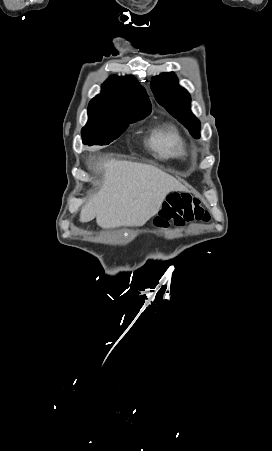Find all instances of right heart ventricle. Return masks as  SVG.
I'll return each mask as SVG.
<instances>
[{"label": "right heart ventricle", "mask_w": 272, "mask_h": 451, "mask_svg": "<svg viewBox=\"0 0 272 451\" xmlns=\"http://www.w3.org/2000/svg\"><path fill=\"white\" fill-rule=\"evenodd\" d=\"M152 145L163 156L178 157L182 155L180 137L173 129L156 132L152 138Z\"/></svg>", "instance_id": "right-heart-ventricle-1"}]
</instances>
